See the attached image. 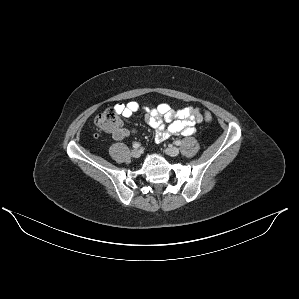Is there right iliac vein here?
<instances>
[{
	"label": "right iliac vein",
	"mask_w": 299,
	"mask_h": 299,
	"mask_svg": "<svg viewBox=\"0 0 299 299\" xmlns=\"http://www.w3.org/2000/svg\"><path fill=\"white\" fill-rule=\"evenodd\" d=\"M132 157L139 158L141 156V151L139 149H134L131 152Z\"/></svg>",
	"instance_id": "63e3f726"
}]
</instances>
